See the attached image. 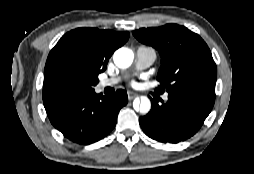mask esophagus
<instances>
[{"instance_id":"34e87169","label":"esophagus","mask_w":254,"mask_h":174,"mask_svg":"<svg viewBox=\"0 0 254 174\" xmlns=\"http://www.w3.org/2000/svg\"><path fill=\"white\" fill-rule=\"evenodd\" d=\"M138 95L136 93L133 92H128V99L129 100H133L134 98H136Z\"/></svg>"}]
</instances>
